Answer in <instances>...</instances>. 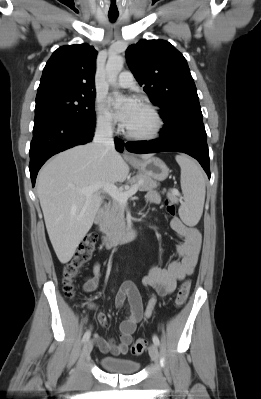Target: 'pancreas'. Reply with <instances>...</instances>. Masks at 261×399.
<instances>
[{
  "label": "pancreas",
  "mask_w": 261,
  "mask_h": 399,
  "mask_svg": "<svg viewBox=\"0 0 261 399\" xmlns=\"http://www.w3.org/2000/svg\"><path fill=\"white\" fill-rule=\"evenodd\" d=\"M128 184L131 186L137 184L140 191H149L159 186V183L141 173L129 179ZM101 227L108 237H115L123 232L126 222L124 208L119 201L113 199L108 203Z\"/></svg>",
  "instance_id": "1"
}]
</instances>
